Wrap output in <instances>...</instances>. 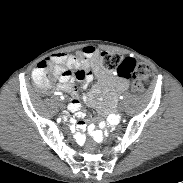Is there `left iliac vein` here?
<instances>
[{
    "label": "left iliac vein",
    "mask_w": 183,
    "mask_h": 183,
    "mask_svg": "<svg viewBox=\"0 0 183 183\" xmlns=\"http://www.w3.org/2000/svg\"><path fill=\"white\" fill-rule=\"evenodd\" d=\"M119 110H120V111H122V110H123L122 105H119Z\"/></svg>",
    "instance_id": "left-iliac-vein-1"
}]
</instances>
